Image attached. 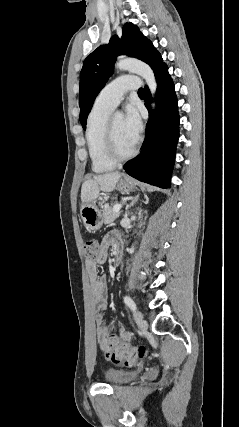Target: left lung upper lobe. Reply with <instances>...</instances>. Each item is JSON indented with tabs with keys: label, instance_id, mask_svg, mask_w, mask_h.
<instances>
[{
	"label": "left lung upper lobe",
	"instance_id": "left-lung-upper-lobe-1",
	"mask_svg": "<svg viewBox=\"0 0 239 427\" xmlns=\"http://www.w3.org/2000/svg\"><path fill=\"white\" fill-rule=\"evenodd\" d=\"M125 54L138 58L155 72L163 64L160 53L150 40L139 32L136 25L126 23L122 28V38L113 36L108 45H101L89 54L80 73L79 106L80 122L86 129V120L93 102L113 73L116 56Z\"/></svg>",
	"mask_w": 239,
	"mask_h": 427
}]
</instances>
